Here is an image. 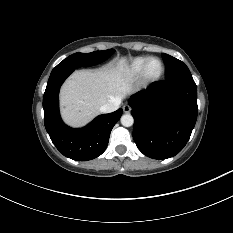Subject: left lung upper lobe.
Masks as SVG:
<instances>
[{"mask_svg": "<svg viewBox=\"0 0 233 233\" xmlns=\"http://www.w3.org/2000/svg\"><path fill=\"white\" fill-rule=\"evenodd\" d=\"M162 57L165 63L166 79L192 77L188 67L182 61L164 53L162 54Z\"/></svg>", "mask_w": 233, "mask_h": 233, "instance_id": "obj_1", "label": "left lung upper lobe"}]
</instances>
